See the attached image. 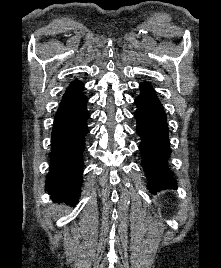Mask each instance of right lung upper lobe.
I'll return each instance as SVG.
<instances>
[{
	"label": "right lung upper lobe",
	"instance_id": "right-lung-upper-lobe-1",
	"mask_svg": "<svg viewBox=\"0 0 221 268\" xmlns=\"http://www.w3.org/2000/svg\"><path fill=\"white\" fill-rule=\"evenodd\" d=\"M83 88V84L79 81L73 82L66 90L62 101L69 100L78 97L81 95V89Z\"/></svg>",
	"mask_w": 221,
	"mask_h": 268
}]
</instances>
